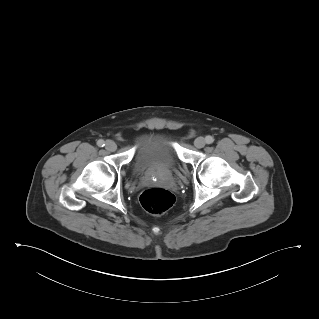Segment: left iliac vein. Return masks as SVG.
Wrapping results in <instances>:
<instances>
[{
    "label": "left iliac vein",
    "instance_id": "left-iliac-vein-1",
    "mask_svg": "<svg viewBox=\"0 0 319 319\" xmlns=\"http://www.w3.org/2000/svg\"><path fill=\"white\" fill-rule=\"evenodd\" d=\"M206 144V141L203 137H197L194 141V145L197 147V148H203Z\"/></svg>",
    "mask_w": 319,
    "mask_h": 319
}]
</instances>
